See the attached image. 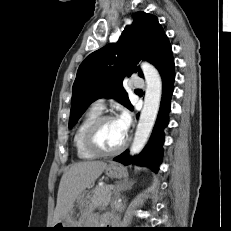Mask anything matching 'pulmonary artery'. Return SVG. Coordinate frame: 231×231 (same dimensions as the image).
I'll use <instances>...</instances> for the list:
<instances>
[{
    "mask_svg": "<svg viewBox=\"0 0 231 231\" xmlns=\"http://www.w3.org/2000/svg\"><path fill=\"white\" fill-rule=\"evenodd\" d=\"M130 86L132 88H142L144 86V80L140 77H134L131 82ZM105 100L104 99H98L92 104V108L102 112L105 109Z\"/></svg>",
    "mask_w": 231,
    "mask_h": 231,
    "instance_id": "e3ab8cb5",
    "label": "pulmonary artery"
}]
</instances>
